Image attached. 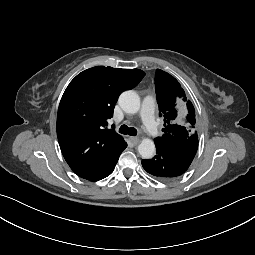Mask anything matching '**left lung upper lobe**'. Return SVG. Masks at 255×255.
<instances>
[{
	"instance_id": "left-lung-upper-lobe-1",
	"label": "left lung upper lobe",
	"mask_w": 255,
	"mask_h": 255,
	"mask_svg": "<svg viewBox=\"0 0 255 255\" xmlns=\"http://www.w3.org/2000/svg\"><path fill=\"white\" fill-rule=\"evenodd\" d=\"M155 88L164 134L154 139L156 145H180L198 140L195 110L179 82L160 69L155 73Z\"/></svg>"
}]
</instances>
